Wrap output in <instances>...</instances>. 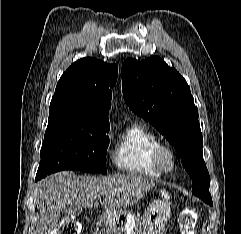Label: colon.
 <instances>
[{
  "label": "colon",
  "instance_id": "1",
  "mask_svg": "<svg viewBox=\"0 0 241 234\" xmlns=\"http://www.w3.org/2000/svg\"><path fill=\"white\" fill-rule=\"evenodd\" d=\"M196 211L193 208L185 209L179 218V227L182 234H196ZM55 234H80V225L73 217H65L60 222Z\"/></svg>",
  "mask_w": 241,
  "mask_h": 234
}]
</instances>
